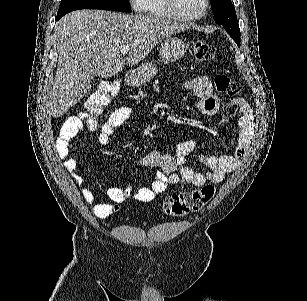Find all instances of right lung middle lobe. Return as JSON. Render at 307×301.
I'll return each instance as SVG.
<instances>
[{
	"label": "right lung middle lobe",
	"instance_id": "obj_1",
	"mask_svg": "<svg viewBox=\"0 0 307 301\" xmlns=\"http://www.w3.org/2000/svg\"><path fill=\"white\" fill-rule=\"evenodd\" d=\"M78 9H104L131 12L129 0H62L57 19Z\"/></svg>",
	"mask_w": 307,
	"mask_h": 301
}]
</instances>
